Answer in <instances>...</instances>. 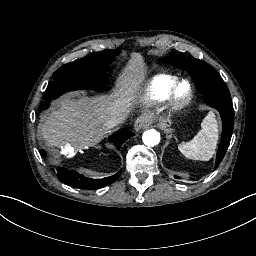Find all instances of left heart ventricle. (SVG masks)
Here are the masks:
<instances>
[{"mask_svg": "<svg viewBox=\"0 0 256 256\" xmlns=\"http://www.w3.org/2000/svg\"><path fill=\"white\" fill-rule=\"evenodd\" d=\"M188 94V88L186 85H182L179 89L178 95L180 99H184ZM145 107H147L146 105H143Z\"/></svg>", "mask_w": 256, "mask_h": 256, "instance_id": "left-heart-ventricle-1", "label": "left heart ventricle"}]
</instances>
